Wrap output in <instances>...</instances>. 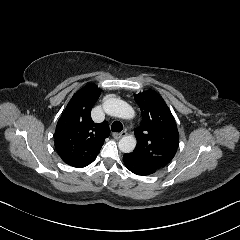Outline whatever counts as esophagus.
I'll return each instance as SVG.
<instances>
[{
	"mask_svg": "<svg viewBox=\"0 0 240 240\" xmlns=\"http://www.w3.org/2000/svg\"><path fill=\"white\" fill-rule=\"evenodd\" d=\"M126 135H127L126 132L113 133V137H114L115 139H120V138H122V137H124V136H126Z\"/></svg>",
	"mask_w": 240,
	"mask_h": 240,
	"instance_id": "esophagus-1",
	"label": "esophagus"
}]
</instances>
